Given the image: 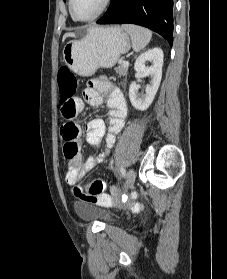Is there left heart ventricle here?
I'll return each instance as SVG.
<instances>
[{"label": "left heart ventricle", "mask_w": 227, "mask_h": 279, "mask_svg": "<svg viewBox=\"0 0 227 279\" xmlns=\"http://www.w3.org/2000/svg\"><path fill=\"white\" fill-rule=\"evenodd\" d=\"M102 0H73V11L78 18H88L100 8Z\"/></svg>", "instance_id": "b2bd125f"}]
</instances>
